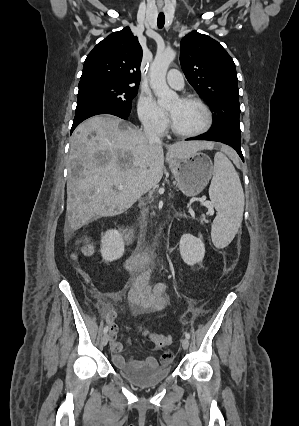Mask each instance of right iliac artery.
I'll list each match as a JSON object with an SVG mask.
<instances>
[{
    "mask_svg": "<svg viewBox=\"0 0 299 426\" xmlns=\"http://www.w3.org/2000/svg\"><path fill=\"white\" fill-rule=\"evenodd\" d=\"M108 330H109V327L105 326L104 329H103V333L106 334L108 332Z\"/></svg>",
    "mask_w": 299,
    "mask_h": 426,
    "instance_id": "1",
    "label": "right iliac artery"
}]
</instances>
